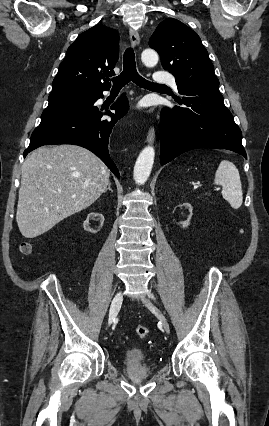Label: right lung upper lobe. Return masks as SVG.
Here are the masks:
<instances>
[{"label": "right lung upper lobe", "instance_id": "obj_1", "mask_svg": "<svg viewBox=\"0 0 269 426\" xmlns=\"http://www.w3.org/2000/svg\"><path fill=\"white\" fill-rule=\"evenodd\" d=\"M119 56V35L112 28L96 25L81 33L68 48L52 83V92L109 90L105 76L114 75Z\"/></svg>", "mask_w": 269, "mask_h": 426}]
</instances>
